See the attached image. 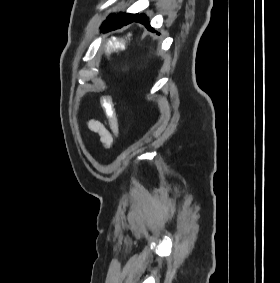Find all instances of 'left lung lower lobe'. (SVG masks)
<instances>
[{
  "instance_id": "left-lung-lower-lobe-1",
  "label": "left lung lower lobe",
  "mask_w": 280,
  "mask_h": 283,
  "mask_svg": "<svg viewBox=\"0 0 280 283\" xmlns=\"http://www.w3.org/2000/svg\"><path fill=\"white\" fill-rule=\"evenodd\" d=\"M132 22H139V23L145 25L146 27H148V29L152 30V28L150 27L149 18L146 17L144 14H140V15L135 14L131 18H117V19H114L111 22L104 23L103 26L101 27V30L102 31L115 30V29L121 28L122 26L130 24Z\"/></svg>"
}]
</instances>
